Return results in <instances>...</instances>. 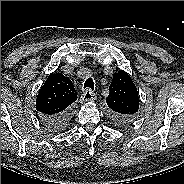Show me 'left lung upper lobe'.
Instances as JSON below:
<instances>
[{"mask_svg": "<svg viewBox=\"0 0 184 184\" xmlns=\"http://www.w3.org/2000/svg\"><path fill=\"white\" fill-rule=\"evenodd\" d=\"M106 102L118 121H130L138 117V90L127 72L120 71L113 75Z\"/></svg>", "mask_w": 184, "mask_h": 184, "instance_id": "1", "label": "left lung upper lobe"}]
</instances>
